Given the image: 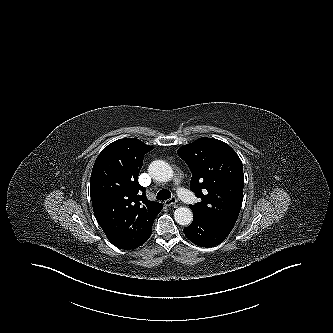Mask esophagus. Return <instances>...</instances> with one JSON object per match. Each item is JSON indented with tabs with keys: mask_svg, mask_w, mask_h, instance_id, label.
I'll use <instances>...</instances> for the list:
<instances>
[{
	"mask_svg": "<svg viewBox=\"0 0 333 333\" xmlns=\"http://www.w3.org/2000/svg\"><path fill=\"white\" fill-rule=\"evenodd\" d=\"M177 203V198L176 197H172L171 199H168L166 201H164V205L166 206H173Z\"/></svg>",
	"mask_w": 333,
	"mask_h": 333,
	"instance_id": "1",
	"label": "esophagus"
}]
</instances>
